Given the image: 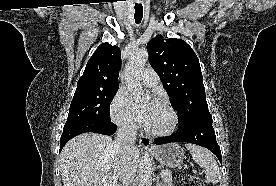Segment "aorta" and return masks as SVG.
Instances as JSON below:
<instances>
[{"instance_id": "1", "label": "aorta", "mask_w": 276, "mask_h": 186, "mask_svg": "<svg viewBox=\"0 0 276 186\" xmlns=\"http://www.w3.org/2000/svg\"><path fill=\"white\" fill-rule=\"evenodd\" d=\"M148 61L147 51H137L131 54L125 66V84L136 102L146 100L141 83V72ZM152 161L145 154L139 164V186H151Z\"/></svg>"}]
</instances>
